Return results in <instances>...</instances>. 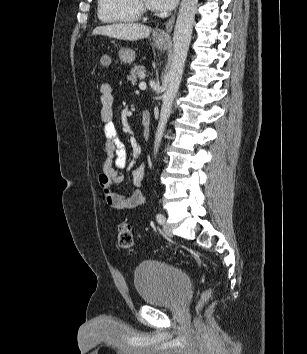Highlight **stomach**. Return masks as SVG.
Segmentation results:
<instances>
[{"label":"stomach","mask_w":307,"mask_h":354,"mask_svg":"<svg viewBox=\"0 0 307 354\" xmlns=\"http://www.w3.org/2000/svg\"><path fill=\"white\" fill-rule=\"evenodd\" d=\"M155 47L164 50L168 47V40L165 37L156 36L153 39ZM119 58L123 63H132L135 59V52L129 48H122L119 51Z\"/></svg>","instance_id":"obj_1"}]
</instances>
